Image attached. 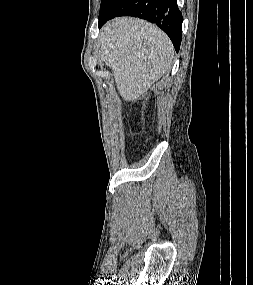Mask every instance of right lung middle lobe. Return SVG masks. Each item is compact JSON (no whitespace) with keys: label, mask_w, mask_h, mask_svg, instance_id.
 <instances>
[{"label":"right lung middle lobe","mask_w":253,"mask_h":285,"mask_svg":"<svg viewBox=\"0 0 253 285\" xmlns=\"http://www.w3.org/2000/svg\"><path fill=\"white\" fill-rule=\"evenodd\" d=\"M113 2V0H102L101 1V5H100V13H99V16L101 14H103L107 8L109 7V5Z\"/></svg>","instance_id":"1"}]
</instances>
